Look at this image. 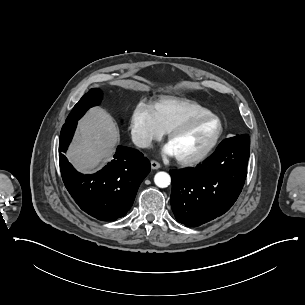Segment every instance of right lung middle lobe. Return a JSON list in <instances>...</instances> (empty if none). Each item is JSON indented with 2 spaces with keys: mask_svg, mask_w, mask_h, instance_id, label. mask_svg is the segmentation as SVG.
<instances>
[{
  "mask_svg": "<svg viewBox=\"0 0 305 305\" xmlns=\"http://www.w3.org/2000/svg\"><path fill=\"white\" fill-rule=\"evenodd\" d=\"M101 99L102 92L99 89H90L89 92L83 95L80 101L74 106L73 110L67 117L66 122L80 119L90 107L100 104Z\"/></svg>",
  "mask_w": 305,
  "mask_h": 305,
  "instance_id": "right-lung-middle-lobe-1",
  "label": "right lung middle lobe"
}]
</instances>
